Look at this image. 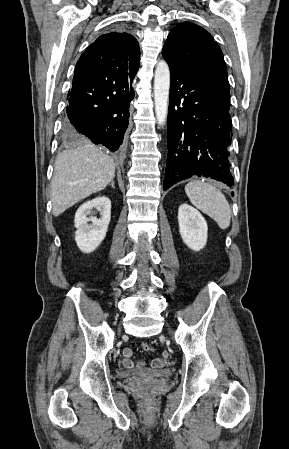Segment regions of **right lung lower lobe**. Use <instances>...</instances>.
I'll list each match as a JSON object with an SVG mask.
<instances>
[{"instance_id": "right-lung-lower-lobe-1", "label": "right lung lower lobe", "mask_w": 289, "mask_h": 449, "mask_svg": "<svg viewBox=\"0 0 289 449\" xmlns=\"http://www.w3.org/2000/svg\"><path fill=\"white\" fill-rule=\"evenodd\" d=\"M133 77L115 81L73 79L68 93L64 128L73 137H88L112 152L118 151L128 127L134 98Z\"/></svg>"}]
</instances>
